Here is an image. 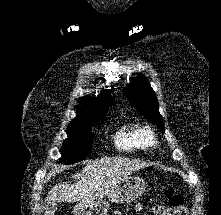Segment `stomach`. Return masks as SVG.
<instances>
[{
  "label": "stomach",
  "instance_id": "stomach-1",
  "mask_svg": "<svg viewBox=\"0 0 221 215\" xmlns=\"http://www.w3.org/2000/svg\"><path fill=\"white\" fill-rule=\"evenodd\" d=\"M146 188L143 178L128 176L112 190L107 199H101L94 203H78L73 212L75 215H107L109 203H131L140 197Z\"/></svg>",
  "mask_w": 221,
  "mask_h": 215
}]
</instances>
